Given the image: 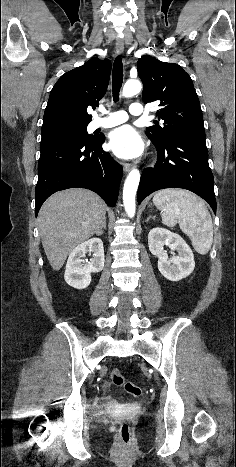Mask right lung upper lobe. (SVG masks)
Here are the masks:
<instances>
[{
  "label": "right lung upper lobe",
  "mask_w": 236,
  "mask_h": 467,
  "mask_svg": "<svg viewBox=\"0 0 236 467\" xmlns=\"http://www.w3.org/2000/svg\"><path fill=\"white\" fill-rule=\"evenodd\" d=\"M110 72V60L94 57L62 75L50 92L42 131L87 126L92 120L87 107L98 106L106 93Z\"/></svg>",
  "instance_id": "cb5924a9"
}]
</instances>
